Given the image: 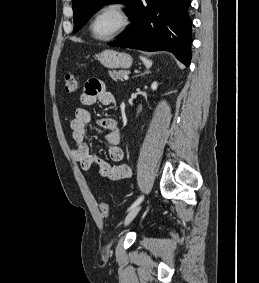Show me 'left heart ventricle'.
I'll return each instance as SVG.
<instances>
[{"label":"left heart ventricle","mask_w":259,"mask_h":283,"mask_svg":"<svg viewBox=\"0 0 259 283\" xmlns=\"http://www.w3.org/2000/svg\"><path fill=\"white\" fill-rule=\"evenodd\" d=\"M120 23V16L115 11H107L94 22L93 32L98 37H105L113 33Z\"/></svg>","instance_id":"1"}]
</instances>
